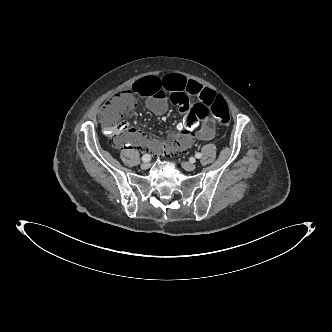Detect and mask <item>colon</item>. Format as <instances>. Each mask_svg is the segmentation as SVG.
<instances>
[{
    "label": "colon",
    "instance_id": "1",
    "mask_svg": "<svg viewBox=\"0 0 332 332\" xmlns=\"http://www.w3.org/2000/svg\"><path fill=\"white\" fill-rule=\"evenodd\" d=\"M135 107L136 98L132 92L121 93L112 98L104 106L103 121L112 136L111 145L113 147H117L122 143L120 132V125L122 123L121 119ZM210 112L221 125H228L230 121V112L222 97L216 96L213 98L211 101ZM208 116L209 111L205 105H194L190 112L178 120V127L176 128L184 133L194 131L200 123L205 122L208 119Z\"/></svg>",
    "mask_w": 332,
    "mask_h": 332
}]
</instances>
